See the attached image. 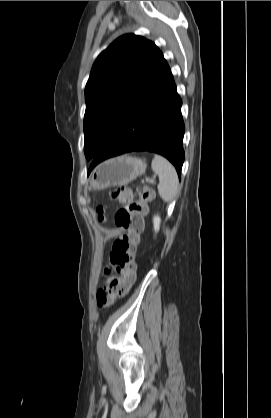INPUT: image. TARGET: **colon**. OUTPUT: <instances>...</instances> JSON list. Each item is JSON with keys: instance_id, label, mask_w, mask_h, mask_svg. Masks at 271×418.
Here are the masks:
<instances>
[{"instance_id": "5ec220e1", "label": "colon", "mask_w": 271, "mask_h": 418, "mask_svg": "<svg viewBox=\"0 0 271 418\" xmlns=\"http://www.w3.org/2000/svg\"><path fill=\"white\" fill-rule=\"evenodd\" d=\"M111 197L122 203L115 213V224L121 235L113 243L110 253V270L115 272L108 286L98 290L97 305L106 307L114 297L126 295L136 278L134 255L140 241L143 229V219L148 212V205L154 199L153 191L144 187L140 190L138 199H133V191L127 187L115 189ZM98 218L103 221L104 208H98Z\"/></svg>"}]
</instances>
